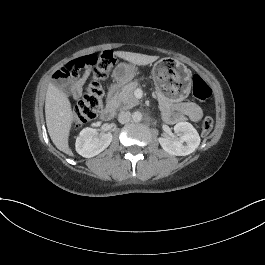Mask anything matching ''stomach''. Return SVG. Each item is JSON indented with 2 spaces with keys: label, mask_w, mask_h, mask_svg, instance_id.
<instances>
[{
  "label": "stomach",
  "mask_w": 265,
  "mask_h": 265,
  "mask_svg": "<svg viewBox=\"0 0 265 265\" xmlns=\"http://www.w3.org/2000/svg\"><path fill=\"white\" fill-rule=\"evenodd\" d=\"M135 75V67L120 63L113 71V77L120 83L130 81ZM152 77L158 93L166 96L171 102L183 101L191 90V72L174 58H163L157 61L152 69Z\"/></svg>",
  "instance_id": "0dacf381"
}]
</instances>
